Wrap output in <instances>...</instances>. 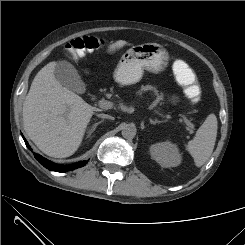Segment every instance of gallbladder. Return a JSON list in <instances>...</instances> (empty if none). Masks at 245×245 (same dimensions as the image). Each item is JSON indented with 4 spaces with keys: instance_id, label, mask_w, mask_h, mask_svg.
<instances>
[{
    "instance_id": "bac80fb5",
    "label": "gallbladder",
    "mask_w": 245,
    "mask_h": 245,
    "mask_svg": "<svg viewBox=\"0 0 245 245\" xmlns=\"http://www.w3.org/2000/svg\"><path fill=\"white\" fill-rule=\"evenodd\" d=\"M54 75L56 80L69 90L79 94L85 92V84L71 63L67 61L58 62L54 69Z\"/></svg>"
}]
</instances>
